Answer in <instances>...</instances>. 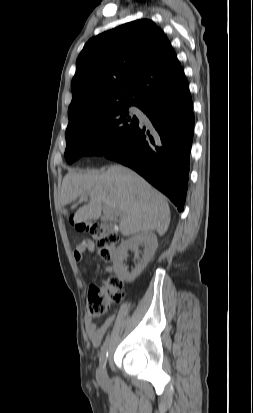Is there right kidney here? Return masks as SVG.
Listing matches in <instances>:
<instances>
[{
	"label": "right kidney",
	"instance_id": "1",
	"mask_svg": "<svg viewBox=\"0 0 253 413\" xmlns=\"http://www.w3.org/2000/svg\"><path fill=\"white\" fill-rule=\"evenodd\" d=\"M144 245L142 258H139V245ZM158 247L157 236L151 232H142L124 241L113 255V267L117 276L127 282H132L147 266L153 258L155 250ZM136 251V259L138 260L135 268L129 272L128 267L123 263L128 256V251Z\"/></svg>",
	"mask_w": 253,
	"mask_h": 413
}]
</instances>
